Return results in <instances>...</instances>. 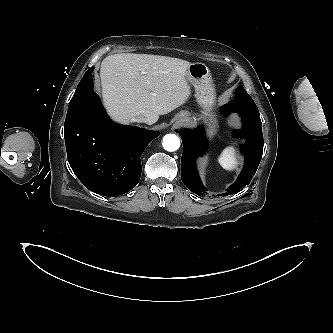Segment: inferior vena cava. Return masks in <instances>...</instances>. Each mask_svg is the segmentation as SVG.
Returning a JSON list of instances; mask_svg holds the SVG:
<instances>
[{"label":"inferior vena cava","instance_id":"1","mask_svg":"<svg viewBox=\"0 0 333 333\" xmlns=\"http://www.w3.org/2000/svg\"><path fill=\"white\" fill-rule=\"evenodd\" d=\"M134 121L138 122V123H142V122L148 123V118L145 117V116L140 115V116L135 117Z\"/></svg>","mask_w":333,"mask_h":333}]
</instances>
